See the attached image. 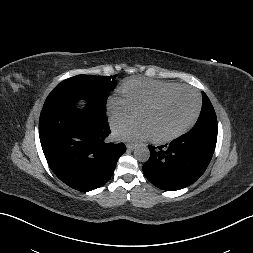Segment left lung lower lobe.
I'll use <instances>...</instances> for the list:
<instances>
[{"label":"left lung lower lobe","instance_id":"obj_1","mask_svg":"<svg viewBox=\"0 0 253 253\" xmlns=\"http://www.w3.org/2000/svg\"><path fill=\"white\" fill-rule=\"evenodd\" d=\"M217 134L191 130L157 148L148 146L150 158L143 173L156 187L174 191L194 183L206 170L215 150Z\"/></svg>","mask_w":253,"mask_h":253}]
</instances>
